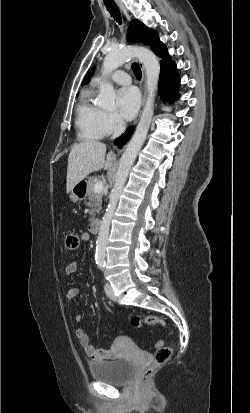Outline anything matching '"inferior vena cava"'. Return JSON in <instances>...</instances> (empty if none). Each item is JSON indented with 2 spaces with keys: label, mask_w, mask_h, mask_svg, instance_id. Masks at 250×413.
Listing matches in <instances>:
<instances>
[{
  "label": "inferior vena cava",
  "mask_w": 250,
  "mask_h": 413,
  "mask_svg": "<svg viewBox=\"0 0 250 413\" xmlns=\"http://www.w3.org/2000/svg\"><path fill=\"white\" fill-rule=\"evenodd\" d=\"M124 130H125V122L123 119H119L117 122V126L115 128L114 134L111 137V139L118 138L123 133Z\"/></svg>",
  "instance_id": "1"
}]
</instances>
